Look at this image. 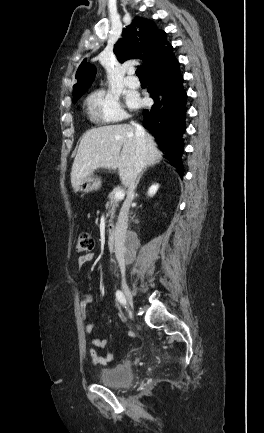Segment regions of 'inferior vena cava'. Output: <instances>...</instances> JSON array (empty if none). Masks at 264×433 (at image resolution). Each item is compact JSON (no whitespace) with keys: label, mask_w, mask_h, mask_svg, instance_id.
Returning <instances> with one entry per match:
<instances>
[{"label":"inferior vena cava","mask_w":264,"mask_h":433,"mask_svg":"<svg viewBox=\"0 0 264 433\" xmlns=\"http://www.w3.org/2000/svg\"><path fill=\"white\" fill-rule=\"evenodd\" d=\"M135 128V137L137 141V149H136V156L137 161L135 164V169L132 174L131 180L128 185V192H127V198L123 204L122 211L119 215L118 219V230H117V236H116V252L115 257L118 260L125 258V250H124V243L126 242V238L128 236V230L127 228V222H128V213L130 209V205L132 203V200L134 198V190H135V184H136V178L137 175L142 171L144 168V161H143V152L145 148V131L144 129L138 125L135 122L131 123ZM119 267L121 270L122 277L125 276V261L121 260L119 261Z\"/></svg>","instance_id":"inferior-vena-cava-1"}]
</instances>
